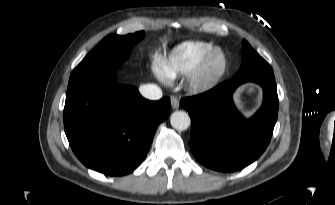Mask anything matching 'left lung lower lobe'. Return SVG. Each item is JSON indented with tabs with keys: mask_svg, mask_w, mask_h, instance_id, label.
<instances>
[{
	"mask_svg": "<svg viewBox=\"0 0 335 205\" xmlns=\"http://www.w3.org/2000/svg\"><path fill=\"white\" fill-rule=\"evenodd\" d=\"M263 88V104L250 119L236 110L232 94L245 83ZM191 117L190 149L209 169L234 172L254 162L267 148L277 121L279 100L275 79L232 78L212 90L181 99Z\"/></svg>",
	"mask_w": 335,
	"mask_h": 205,
	"instance_id": "0a47b994",
	"label": "left lung lower lobe"
}]
</instances>
